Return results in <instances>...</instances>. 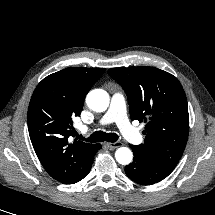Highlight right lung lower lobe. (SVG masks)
<instances>
[{"label": "right lung lower lobe", "instance_id": "right-lung-lower-lobe-1", "mask_svg": "<svg viewBox=\"0 0 215 215\" xmlns=\"http://www.w3.org/2000/svg\"><path fill=\"white\" fill-rule=\"evenodd\" d=\"M99 149H101V145H100V144H96L95 153H96ZM92 162H93V161H92ZM92 162H91L89 168L87 169V171L85 172L83 178L89 173L90 168H91V165H92ZM83 178H82V179H83Z\"/></svg>", "mask_w": 215, "mask_h": 215}]
</instances>
